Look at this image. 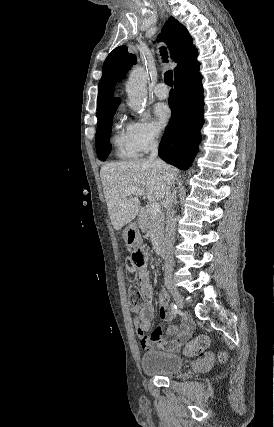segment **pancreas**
I'll list each match as a JSON object with an SVG mask.
<instances>
[{
  "instance_id": "pancreas-1",
  "label": "pancreas",
  "mask_w": 274,
  "mask_h": 427,
  "mask_svg": "<svg viewBox=\"0 0 274 427\" xmlns=\"http://www.w3.org/2000/svg\"><path fill=\"white\" fill-rule=\"evenodd\" d=\"M164 212L152 215L148 208H143L138 217V225L141 231H151L156 237H163L164 233Z\"/></svg>"
}]
</instances>
